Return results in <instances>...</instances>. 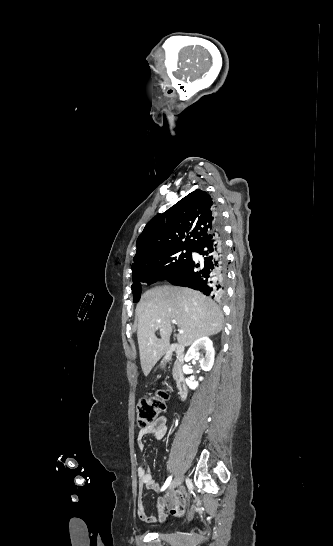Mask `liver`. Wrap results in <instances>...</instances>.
I'll use <instances>...</instances> for the list:
<instances>
[{"label":"liver","instance_id":"obj_1","mask_svg":"<svg viewBox=\"0 0 333 546\" xmlns=\"http://www.w3.org/2000/svg\"><path fill=\"white\" fill-rule=\"evenodd\" d=\"M138 345L143 373L147 376L170 346L172 320L183 330L177 335L182 346L201 337L218 334L223 313L218 305L199 291L164 285L146 291L136 307ZM160 331L161 339L155 336Z\"/></svg>","mask_w":333,"mask_h":546}]
</instances>
